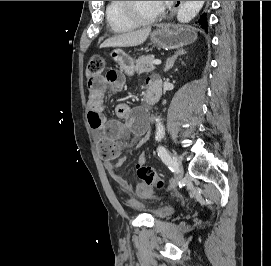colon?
<instances>
[{"label": "colon", "mask_w": 271, "mask_h": 266, "mask_svg": "<svg viewBox=\"0 0 271 266\" xmlns=\"http://www.w3.org/2000/svg\"><path fill=\"white\" fill-rule=\"evenodd\" d=\"M104 70V60L100 56H93L90 58L86 75L88 77H94L100 75ZM136 173L138 178L147 185H157L159 188L163 186L160 181L156 170L145 164H137Z\"/></svg>", "instance_id": "1"}]
</instances>
